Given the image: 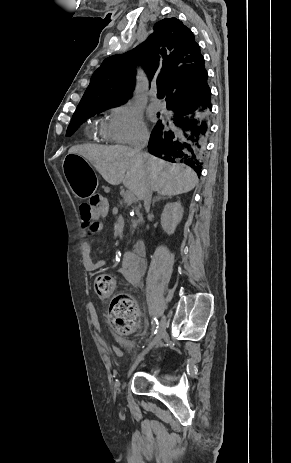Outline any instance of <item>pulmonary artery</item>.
I'll use <instances>...</instances> for the list:
<instances>
[{"label": "pulmonary artery", "instance_id": "1", "mask_svg": "<svg viewBox=\"0 0 291 463\" xmlns=\"http://www.w3.org/2000/svg\"><path fill=\"white\" fill-rule=\"evenodd\" d=\"M153 96H155V94H153ZM150 107L155 110V111H162L163 108H164V105L162 102H160L159 100H156L154 99L151 103H150Z\"/></svg>", "mask_w": 291, "mask_h": 463}]
</instances>
